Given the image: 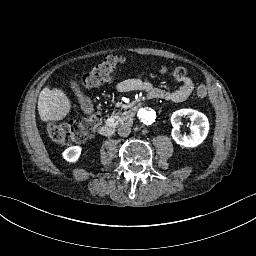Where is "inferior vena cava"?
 <instances>
[{
    "instance_id": "1",
    "label": "inferior vena cava",
    "mask_w": 256,
    "mask_h": 256,
    "mask_svg": "<svg viewBox=\"0 0 256 256\" xmlns=\"http://www.w3.org/2000/svg\"><path fill=\"white\" fill-rule=\"evenodd\" d=\"M131 133V128L128 126H120L118 128V134L120 136L126 137Z\"/></svg>"
}]
</instances>
